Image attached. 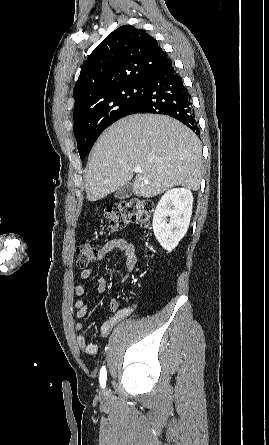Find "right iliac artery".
<instances>
[{"instance_id": "1", "label": "right iliac artery", "mask_w": 269, "mask_h": 445, "mask_svg": "<svg viewBox=\"0 0 269 445\" xmlns=\"http://www.w3.org/2000/svg\"><path fill=\"white\" fill-rule=\"evenodd\" d=\"M106 379H107V371H106V368L103 366L101 368L100 377H99L100 385L102 388H104L106 386Z\"/></svg>"}]
</instances>
